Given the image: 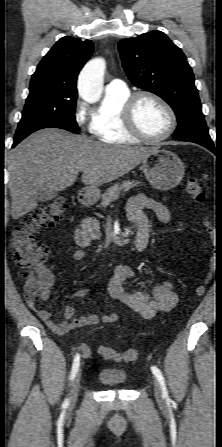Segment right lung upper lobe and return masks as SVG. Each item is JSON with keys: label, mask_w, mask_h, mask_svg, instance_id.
<instances>
[{"label": "right lung upper lobe", "mask_w": 222, "mask_h": 447, "mask_svg": "<svg viewBox=\"0 0 222 447\" xmlns=\"http://www.w3.org/2000/svg\"><path fill=\"white\" fill-rule=\"evenodd\" d=\"M90 40L63 37L44 56L32 75L30 88L50 86L54 91L77 96V76L93 52Z\"/></svg>", "instance_id": "1"}]
</instances>
